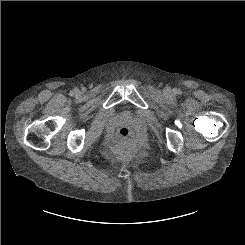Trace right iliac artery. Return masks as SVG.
<instances>
[{
    "mask_svg": "<svg viewBox=\"0 0 245 245\" xmlns=\"http://www.w3.org/2000/svg\"><path fill=\"white\" fill-rule=\"evenodd\" d=\"M74 92H75V90H74V91H71V95H73V94H74Z\"/></svg>",
    "mask_w": 245,
    "mask_h": 245,
    "instance_id": "82829eb1",
    "label": "right iliac artery"
}]
</instances>
